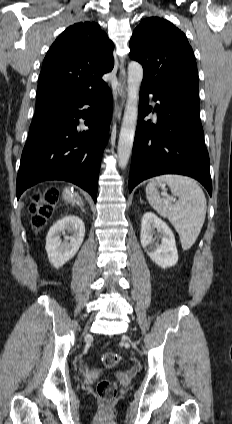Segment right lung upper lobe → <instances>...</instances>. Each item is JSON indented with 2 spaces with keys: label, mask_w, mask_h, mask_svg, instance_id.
Returning a JSON list of instances; mask_svg holds the SVG:
<instances>
[{
  "label": "right lung upper lobe",
  "mask_w": 232,
  "mask_h": 424,
  "mask_svg": "<svg viewBox=\"0 0 232 424\" xmlns=\"http://www.w3.org/2000/svg\"><path fill=\"white\" fill-rule=\"evenodd\" d=\"M113 48L97 23L80 22L68 27L44 58L36 107L81 101L107 89L102 76L114 67Z\"/></svg>",
  "instance_id": "cb5924a9"
}]
</instances>
